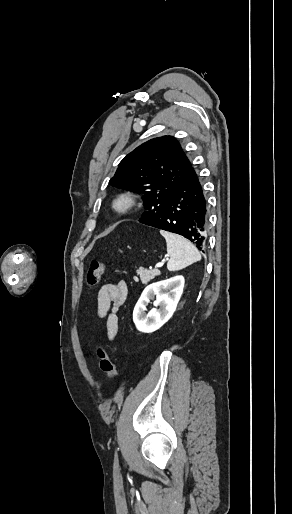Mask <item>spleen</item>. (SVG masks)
Returning a JSON list of instances; mask_svg holds the SVG:
<instances>
[{"instance_id": "3e777b00", "label": "spleen", "mask_w": 292, "mask_h": 514, "mask_svg": "<svg viewBox=\"0 0 292 514\" xmlns=\"http://www.w3.org/2000/svg\"><path fill=\"white\" fill-rule=\"evenodd\" d=\"M161 236H164L167 244V252L170 256L168 260L167 268L169 272H177V270H183L187 266H191L194 262L201 260L200 252L197 248L177 234H171V232H164L160 230Z\"/></svg>"}]
</instances>
